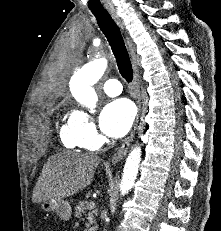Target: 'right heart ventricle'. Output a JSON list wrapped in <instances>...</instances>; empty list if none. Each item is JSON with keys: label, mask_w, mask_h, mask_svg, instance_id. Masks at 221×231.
Here are the masks:
<instances>
[{"label": "right heart ventricle", "mask_w": 221, "mask_h": 231, "mask_svg": "<svg viewBox=\"0 0 221 231\" xmlns=\"http://www.w3.org/2000/svg\"><path fill=\"white\" fill-rule=\"evenodd\" d=\"M60 138L66 148L79 149L83 147L77 137L71 118L60 127Z\"/></svg>", "instance_id": "1"}]
</instances>
